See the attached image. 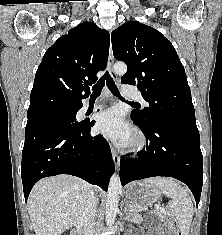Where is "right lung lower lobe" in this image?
Instances as JSON below:
<instances>
[{
    "instance_id": "1",
    "label": "right lung lower lobe",
    "mask_w": 222,
    "mask_h": 235,
    "mask_svg": "<svg viewBox=\"0 0 222 235\" xmlns=\"http://www.w3.org/2000/svg\"><path fill=\"white\" fill-rule=\"evenodd\" d=\"M82 106L81 101L72 105L76 113ZM94 124V120H84L25 139L21 163L25 201L38 180L58 174L80 177L107 191L114 162L105 138L90 135Z\"/></svg>"
}]
</instances>
